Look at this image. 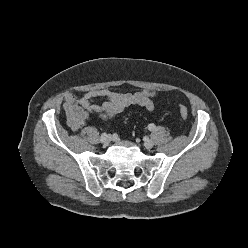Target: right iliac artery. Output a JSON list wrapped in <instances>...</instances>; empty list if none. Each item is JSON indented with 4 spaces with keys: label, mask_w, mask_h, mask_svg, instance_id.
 Masks as SVG:
<instances>
[{
    "label": "right iliac artery",
    "mask_w": 248,
    "mask_h": 248,
    "mask_svg": "<svg viewBox=\"0 0 248 248\" xmlns=\"http://www.w3.org/2000/svg\"><path fill=\"white\" fill-rule=\"evenodd\" d=\"M107 136V133L104 132L102 135H101V140L99 141L101 144L104 142L103 139Z\"/></svg>",
    "instance_id": "1"
}]
</instances>
